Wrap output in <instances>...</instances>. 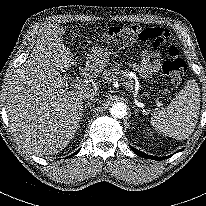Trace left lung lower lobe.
Wrapping results in <instances>:
<instances>
[{"mask_svg":"<svg viewBox=\"0 0 206 206\" xmlns=\"http://www.w3.org/2000/svg\"><path fill=\"white\" fill-rule=\"evenodd\" d=\"M131 149H132V151H133L135 154H137V155H139V156H141V157H144V158H146V159L164 160V159H167L168 157L172 156V155H170V156H167V157H155V156L147 155V154H145L144 152H142V151H140V150H138V149H136V148L131 147ZM179 151H181V150H179ZM179 151H178V152H179Z\"/></svg>","mask_w":206,"mask_h":206,"instance_id":"0a47b994","label":"left lung lower lobe"}]
</instances>
